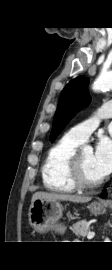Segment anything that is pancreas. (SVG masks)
<instances>
[{
  "label": "pancreas",
  "instance_id": "pancreas-1",
  "mask_svg": "<svg viewBox=\"0 0 112 270\" xmlns=\"http://www.w3.org/2000/svg\"><path fill=\"white\" fill-rule=\"evenodd\" d=\"M71 230L75 233L77 237L85 238L90 231V224L86 220H81L76 222Z\"/></svg>",
  "mask_w": 112,
  "mask_h": 270
}]
</instances>
